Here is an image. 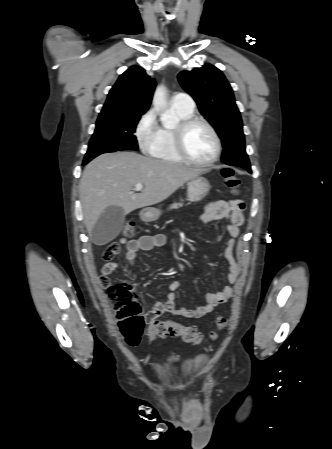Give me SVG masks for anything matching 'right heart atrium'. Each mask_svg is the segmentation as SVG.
Instances as JSON below:
<instances>
[{"instance_id":"1","label":"right heart atrium","mask_w":332,"mask_h":449,"mask_svg":"<svg viewBox=\"0 0 332 449\" xmlns=\"http://www.w3.org/2000/svg\"><path fill=\"white\" fill-rule=\"evenodd\" d=\"M158 129L159 127L153 110L147 111L139 119L136 125L135 134L138 144L143 151H148L150 149L156 139Z\"/></svg>"}]
</instances>
